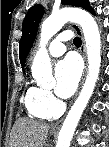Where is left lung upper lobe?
Returning a JSON list of instances; mask_svg holds the SVG:
<instances>
[{
  "label": "left lung upper lobe",
  "mask_w": 109,
  "mask_h": 147,
  "mask_svg": "<svg viewBox=\"0 0 109 147\" xmlns=\"http://www.w3.org/2000/svg\"><path fill=\"white\" fill-rule=\"evenodd\" d=\"M62 3L82 7L87 10L92 8L87 0H62ZM44 14V9L41 5H35L29 9L22 24V37L20 40L19 57L21 65H25L26 57L35 40L38 25Z\"/></svg>",
  "instance_id": "left-lung-upper-lobe-1"
}]
</instances>
